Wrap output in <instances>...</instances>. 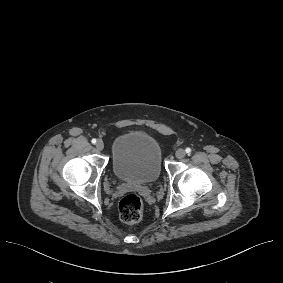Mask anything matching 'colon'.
<instances>
[{"instance_id": "colon-1", "label": "colon", "mask_w": 283, "mask_h": 283, "mask_svg": "<svg viewBox=\"0 0 283 283\" xmlns=\"http://www.w3.org/2000/svg\"><path fill=\"white\" fill-rule=\"evenodd\" d=\"M120 219L128 225L138 224L144 215V204L136 194L124 196L118 204Z\"/></svg>"}]
</instances>
